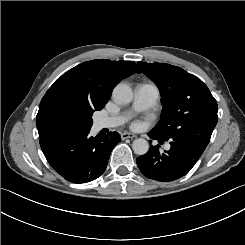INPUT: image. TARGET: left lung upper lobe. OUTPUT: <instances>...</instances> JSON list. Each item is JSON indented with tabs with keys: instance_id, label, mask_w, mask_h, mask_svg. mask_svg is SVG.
Listing matches in <instances>:
<instances>
[{
	"instance_id": "left-lung-upper-lobe-1",
	"label": "left lung upper lobe",
	"mask_w": 245,
	"mask_h": 245,
	"mask_svg": "<svg viewBox=\"0 0 245 245\" xmlns=\"http://www.w3.org/2000/svg\"><path fill=\"white\" fill-rule=\"evenodd\" d=\"M138 65L161 93L163 109L153 131L165 139L188 137L208 144L217 124L218 106L207 86L180 67L146 62Z\"/></svg>"
}]
</instances>
